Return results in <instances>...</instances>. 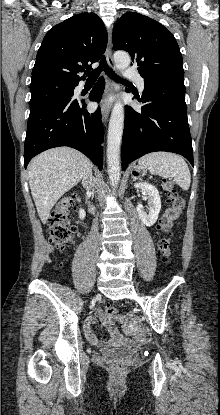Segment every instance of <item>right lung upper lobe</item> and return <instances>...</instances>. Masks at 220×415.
I'll list each match as a JSON object with an SVG mask.
<instances>
[{
  "label": "right lung upper lobe",
  "instance_id": "right-lung-upper-lobe-1",
  "mask_svg": "<svg viewBox=\"0 0 220 415\" xmlns=\"http://www.w3.org/2000/svg\"><path fill=\"white\" fill-rule=\"evenodd\" d=\"M108 41L102 20L94 13L72 16L45 35L32 70V81L58 79L78 84L105 51Z\"/></svg>",
  "mask_w": 220,
  "mask_h": 415
}]
</instances>
